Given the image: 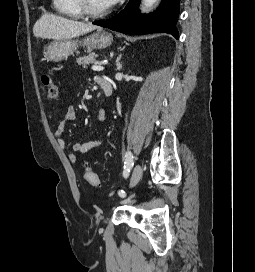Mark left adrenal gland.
Here are the masks:
<instances>
[{"instance_id": "1", "label": "left adrenal gland", "mask_w": 255, "mask_h": 272, "mask_svg": "<svg viewBox=\"0 0 255 272\" xmlns=\"http://www.w3.org/2000/svg\"><path fill=\"white\" fill-rule=\"evenodd\" d=\"M121 57H122V55L120 54V55L117 57V59H116V66H117V70H118V71H120V70L122 69V65H123V64L120 62Z\"/></svg>"}]
</instances>
